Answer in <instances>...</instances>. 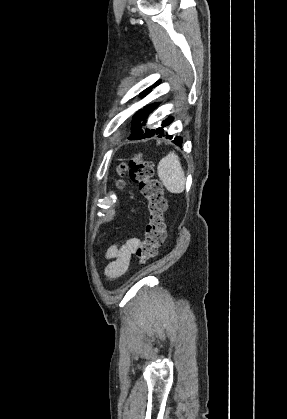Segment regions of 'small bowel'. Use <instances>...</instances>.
<instances>
[{
    "label": "small bowel",
    "mask_w": 287,
    "mask_h": 419,
    "mask_svg": "<svg viewBox=\"0 0 287 419\" xmlns=\"http://www.w3.org/2000/svg\"><path fill=\"white\" fill-rule=\"evenodd\" d=\"M140 245V239L128 237L122 243L115 244L107 250V257L110 259L105 269L108 278H117L129 269L132 262V255Z\"/></svg>",
    "instance_id": "c3829d8e"
}]
</instances>
